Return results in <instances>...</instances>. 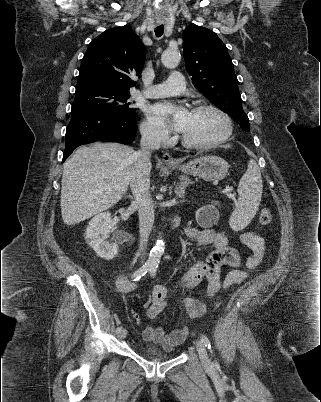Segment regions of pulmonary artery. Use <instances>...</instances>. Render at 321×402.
<instances>
[{
	"label": "pulmonary artery",
	"instance_id": "obj_1",
	"mask_svg": "<svg viewBox=\"0 0 321 402\" xmlns=\"http://www.w3.org/2000/svg\"><path fill=\"white\" fill-rule=\"evenodd\" d=\"M185 88L184 77L179 72H174L164 82L155 84L145 89L142 93L148 98H160L180 94Z\"/></svg>",
	"mask_w": 321,
	"mask_h": 402
}]
</instances>
